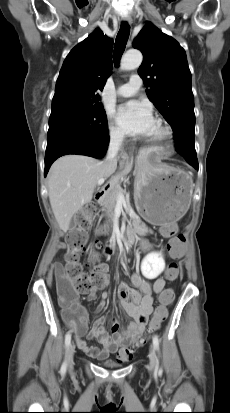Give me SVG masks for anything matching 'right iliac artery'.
Returning <instances> with one entry per match:
<instances>
[{
    "label": "right iliac artery",
    "instance_id": "1",
    "mask_svg": "<svg viewBox=\"0 0 230 413\" xmlns=\"http://www.w3.org/2000/svg\"><path fill=\"white\" fill-rule=\"evenodd\" d=\"M70 342H71V334H70V332H68L65 336V346H66V348L69 347ZM66 369H67V363H66V361H64L62 366H61V370H60L61 374H65Z\"/></svg>",
    "mask_w": 230,
    "mask_h": 413
}]
</instances>
